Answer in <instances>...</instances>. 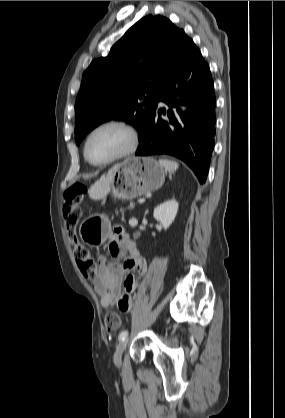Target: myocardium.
<instances>
[{"instance_id":"myocardium-1","label":"myocardium","mask_w":285,"mask_h":418,"mask_svg":"<svg viewBox=\"0 0 285 418\" xmlns=\"http://www.w3.org/2000/svg\"><path fill=\"white\" fill-rule=\"evenodd\" d=\"M106 127H118V128L123 129L129 137V143L127 147L119 154L102 162H94L88 157V154H87L88 142L94 133ZM137 144H138V134H137L136 129L131 124L123 120L111 119V120H107V121L97 124L88 132L83 143V154H84V158L86 159V161L90 163L91 165L105 166V165L111 164L115 161L124 159L132 155L137 148Z\"/></svg>"}]
</instances>
